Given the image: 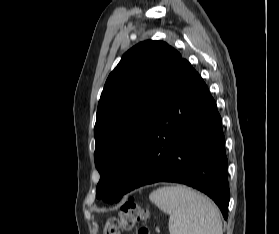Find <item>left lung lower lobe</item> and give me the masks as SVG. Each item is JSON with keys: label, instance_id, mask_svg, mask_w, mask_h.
<instances>
[{"label": "left lung lower lobe", "instance_id": "obj_1", "mask_svg": "<svg viewBox=\"0 0 279 234\" xmlns=\"http://www.w3.org/2000/svg\"><path fill=\"white\" fill-rule=\"evenodd\" d=\"M227 164L216 103L200 75L182 58L157 106L123 195L158 181L183 183L212 198L227 219Z\"/></svg>", "mask_w": 279, "mask_h": 234}]
</instances>
